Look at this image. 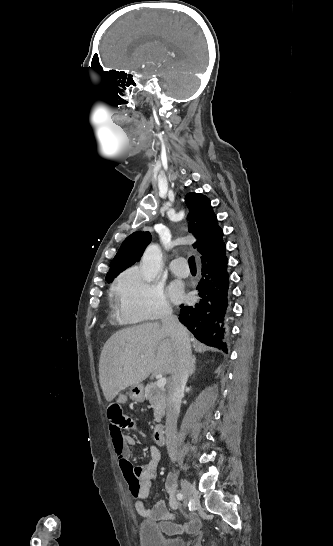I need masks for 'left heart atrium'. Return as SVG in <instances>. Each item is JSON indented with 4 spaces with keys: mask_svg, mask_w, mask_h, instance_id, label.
Wrapping results in <instances>:
<instances>
[{
    "mask_svg": "<svg viewBox=\"0 0 333 546\" xmlns=\"http://www.w3.org/2000/svg\"><path fill=\"white\" fill-rule=\"evenodd\" d=\"M169 293L174 301H180L183 298V289L179 283H173L169 288Z\"/></svg>",
    "mask_w": 333,
    "mask_h": 546,
    "instance_id": "obj_1",
    "label": "left heart atrium"
}]
</instances>
